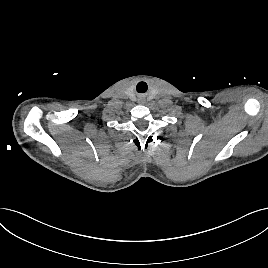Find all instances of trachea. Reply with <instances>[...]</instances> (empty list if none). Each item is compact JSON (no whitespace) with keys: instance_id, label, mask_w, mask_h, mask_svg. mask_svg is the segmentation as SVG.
<instances>
[{"instance_id":"trachea-1","label":"trachea","mask_w":268,"mask_h":268,"mask_svg":"<svg viewBox=\"0 0 268 268\" xmlns=\"http://www.w3.org/2000/svg\"><path fill=\"white\" fill-rule=\"evenodd\" d=\"M141 86H147V85H146V83H144V82H140V83L137 85V90H138Z\"/></svg>"}]
</instances>
